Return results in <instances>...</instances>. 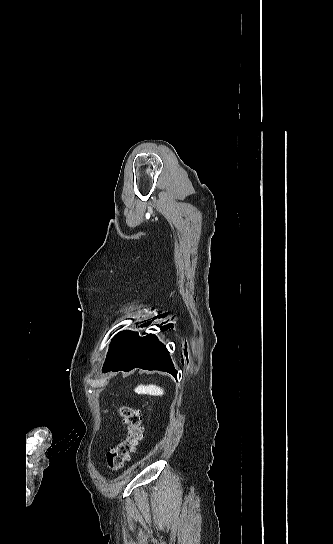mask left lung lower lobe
<instances>
[{"label": "left lung lower lobe", "mask_w": 333, "mask_h": 544, "mask_svg": "<svg viewBox=\"0 0 333 544\" xmlns=\"http://www.w3.org/2000/svg\"><path fill=\"white\" fill-rule=\"evenodd\" d=\"M137 367L145 370L166 371L175 377L177 375L165 345L152 334L139 339L131 347L121 345L111 351L104 364L103 372L119 370L127 372Z\"/></svg>", "instance_id": "1"}]
</instances>
